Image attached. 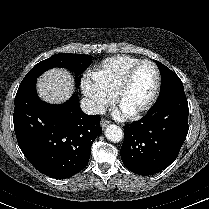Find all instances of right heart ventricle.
<instances>
[{"label": "right heart ventricle", "instance_id": "obj_1", "mask_svg": "<svg viewBox=\"0 0 209 209\" xmlns=\"http://www.w3.org/2000/svg\"><path fill=\"white\" fill-rule=\"evenodd\" d=\"M139 58L117 55L103 60L92 72V78L108 92L115 94L128 68Z\"/></svg>", "mask_w": 209, "mask_h": 209}]
</instances>
